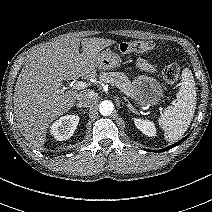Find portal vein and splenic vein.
<instances>
[{"mask_svg": "<svg viewBox=\"0 0 212 212\" xmlns=\"http://www.w3.org/2000/svg\"><path fill=\"white\" fill-rule=\"evenodd\" d=\"M88 84L86 82H82V81H77L74 84H70V87H72L73 89H84L85 87H87ZM65 90V88H63Z\"/></svg>", "mask_w": 212, "mask_h": 212, "instance_id": "portal-vein-and-splenic-vein-1", "label": "portal vein and splenic vein"}]
</instances>
